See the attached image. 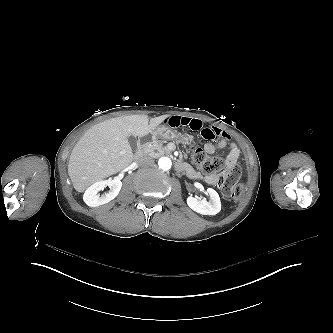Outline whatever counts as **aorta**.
I'll use <instances>...</instances> for the list:
<instances>
[{"label":"aorta","mask_w":333,"mask_h":333,"mask_svg":"<svg viewBox=\"0 0 333 333\" xmlns=\"http://www.w3.org/2000/svg\"><path fill=\"white\" fill-rule=\"evenodd\" d=\"M171 164V160L168 157H162L158 161L159 167L164 171L169 170L171 168Z\"/></svg>","instance_id":"aorta-1"}]
</instances>
